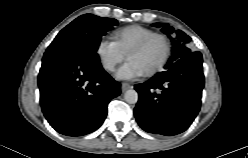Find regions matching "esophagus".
<instances>
[{"label": "esophagus", "instance_id": "esophagus-1", "mask_svg": "<svg viewBox=\"0 0 248 158\" xmlns=\"http://www.w3.org/2000/svg\"><path fill=\"white\" fill-rule=\"evenodd\" d=\"M132 86L129 83L123 82L121 85V89L123 92L127 91L128 89H130Z\"/></svg>", "mask_w": 248, "mask_h": 158}]
</instances>
